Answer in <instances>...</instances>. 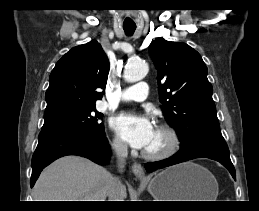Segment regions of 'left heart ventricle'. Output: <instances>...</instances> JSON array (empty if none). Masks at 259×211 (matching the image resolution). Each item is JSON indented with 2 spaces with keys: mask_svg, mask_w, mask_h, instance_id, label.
Listing matches in <instances>:
<instances>
[{
  "mask_svg": "<svg viewBox=\"0 0 259 211\" xmlns=\"http://www.w3.org/2000/svg\"><path fill=\"white\" fill-rule=\"evenodd\" d=\"M167 144V136L165 133L158 131L155 129L154 135L148 144V146L145 148L147 151H159L163 149Z\"/></svg>",
  "mask_w": 259,
  "mask_h": 211,
  "instance_id": "left-heart-ventricle-1",
  "label": "left heart ventricle"
}]
</instances>
